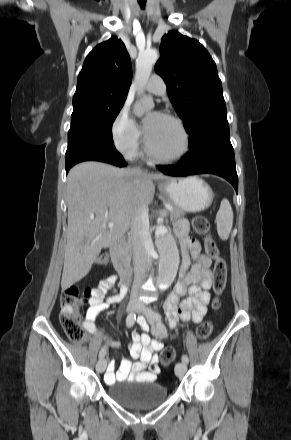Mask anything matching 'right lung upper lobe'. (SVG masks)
<instances>
[{
  "label": "right lung upper lobe",
  "mask_w": 291,
  "mask_h": 440,
  "mask_svg": "<svg viewBox=\"0 0 291 440\" xmlns=\"http://www.w3.org/2000/svg\"><path fill=\"white\" fill-rule=\"evenodd\" d=\"M132 81L131 60L117 37L97 45L78 75L73 103L90 100H126Z\"/></svg>",
  "instance_id": "obj_1"
}]
</instances>
